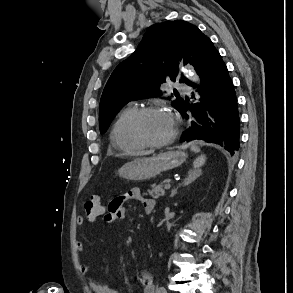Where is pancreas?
<instances>
[{
  "mask_svg": "<svg viewBox=\"0 0 293 293\" xmlns=\"http://www.w3.org/2000/svg\"><path fill=\"white\" fill-rule=\"evenodd\" d=\"M165 182L166 181H164L163 183H160L158 185L153 184L151 186V189L148 190V194L154 199H157L160 196H163L165 194V190H164Z\"/></svg>",
  "mask_w": 293,
  "mask_h": 293,
  "instance_id": "pancreas-1",
  "label": "pancreas"
}]
</instances>
